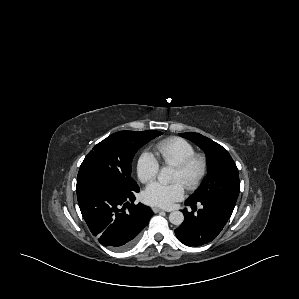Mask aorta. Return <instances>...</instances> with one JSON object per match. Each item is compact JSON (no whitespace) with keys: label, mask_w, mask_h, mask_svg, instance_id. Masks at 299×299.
<instances>
[{"label":"aorta","mask_w":299,"mask_h":299,"mask_svg":"<svg viewBox=\"0 0 299 299\" xmlns=\"http://www.w3.org/2000/svg\"><path fill=\"white\" fill-rule=\"evenodd\" d=\"M173 170L169 167H163L158 175V181L161 184H168L172 181ZM169 221L174 225H181L184 221V215L181 211H173L169 215Z\"/></svg>","instance_id":"aorta-1"}]
</instances>
